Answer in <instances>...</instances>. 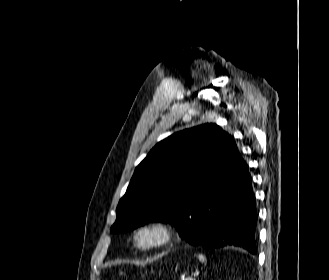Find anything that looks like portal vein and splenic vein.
Here are the masks:
<instances>
[{"instance_id":"1","label":"portal vein and splenic vein","mask_w":329,"mask_h":280,"mask_svg":"<svg viewBox=\"0 0 329 280\" xmlns=\"http://www.w3.org/2000/svg\"><path fill=\"white\" fill-rule=\"evenodd\" d=\"M185 280H194L192 277H188Z\"/></svg>"}]
</instances>
